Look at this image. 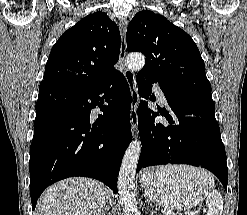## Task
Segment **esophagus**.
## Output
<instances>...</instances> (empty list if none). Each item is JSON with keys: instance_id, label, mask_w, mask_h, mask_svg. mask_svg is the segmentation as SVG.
<instances>
[{"instance_id": "34e87169", "label": "esophagus", "mask_w": 247, "mask_h": 215, "mask_svg": "<svg viewBox=\"0 0 247 215\" xmlns=\"http://www.w3.org/2000/svg\"><path fill=\"white\" fill-rule=\"evenodd\" d=\"M119 28L121 32V48H120V58L119 62L123 66V74L127 80V83L131 92V128L133 135L136 134L138 128V115H137V105L139 102V95L136 84L135 73L128 69L126 66V30L127 21L122 19L119 23Z\"/></svg>"}]
</instances>
